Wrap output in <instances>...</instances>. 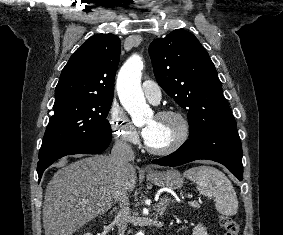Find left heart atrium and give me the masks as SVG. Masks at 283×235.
Segmentation results:
<instances>
[{
    "instance_id": "1",
    "label": "left heart atrium",
    "mask_w": 283,
    "mask_h": 235,
    "mask_svg": "<svg viewBox=\"0 0 283 235\" xmlns=\"http://www.w3.org/2000/svg\"><path fill=\"white\" fill-rule=\"evenodd\" d=\"M154 129H155L154 124H150L143 129L142 135L147 141L152 137L154 133Z\"/></svg>"
}]
</instances>
